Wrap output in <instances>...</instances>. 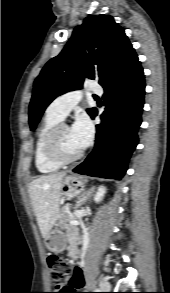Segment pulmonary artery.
I'll return each instance as SVG.
<instances>
[{
  "mask_svg": "<svg viewBox=\"0 0 170 293\" xmlns=\"http://www.w3.org/2000/svg\"><path fill=\"white\" fill-rule=\"evenodd\" d=\"M100 88L91 89L89 94H101ZM81 99V92L72 90L66 92L54 99L47 107L46 113L64 119L73 107H75Z\"/></svg>",
  "mask_w": 170,
  "mask_h": 293,
  "instance_id": "pulmonary-artery-1",
  "label": "pulmonary artery"
}]
</instances>
